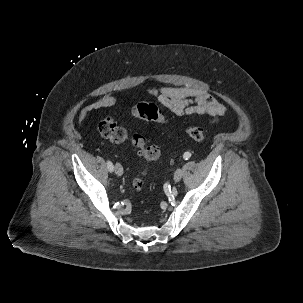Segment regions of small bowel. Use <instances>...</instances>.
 <instances>
[{"label":"small bowel","instance_id":"1","mask_svg":"<svg viewBox=\"0 0 303 303\" xmlns=\"http://www.w3.org/2000/svg\"><path fill=\"white\" fill-rule=\"evenodd\" d=\"M158 101L178 116L206 115L213 122L222 119L226 107L208 92L194 87H161L151 90ZM117 99L113 95H103L85 105L79 113V121L83 122L87 115L96 109L111 107Z\"/></svg>","mask_w":303,"mask_h":303}]
</instances>
